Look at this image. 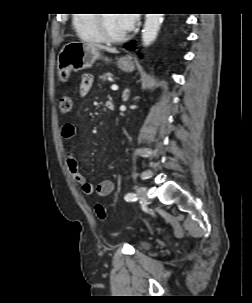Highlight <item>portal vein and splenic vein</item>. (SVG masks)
<instances>
[{
	"label": "portal vein and splenic vein",
	"mask_w": 252,
	"mask_h": 303,
	"mask_svg": "<svg viewBox=\"0 0 252 303\" xmlns=\"http://www.w3.org/2000/svg\"><path fill=\"white\" fill-rule=\"evenodd\" d=\"M111 89L114 90V91H116V90H118V86H117L116 84H113V85L111 86Z\"/></svg>",
	"instance_id": "obj_1"
}]
</instances>
